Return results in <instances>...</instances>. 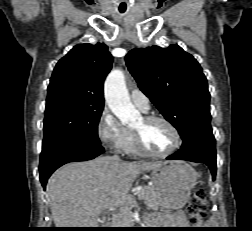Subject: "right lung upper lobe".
I'll list each match as a JSON object with an SVG mask.
<instances>
[{
  "mask_svg": "<svg viewBox=\"0 0 252 231\" xmlns=\"http://www.w3.org/2000/svg\"><path fill=\"white\" fill-rule=\"evenodd\" d=\"M113 57L103 43L74 46L56 64L47 99L59 96L104 104L103 84L111 70Z\"/></svg>",
  "mask_w": 252,
  "mask_h": 231,
  "instance_id": "obj_1",
  "label": "right lung upper lobe"
}]
</instances>
